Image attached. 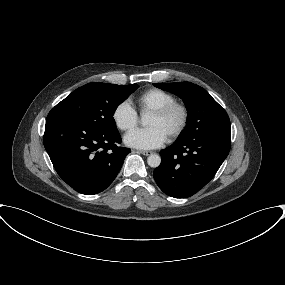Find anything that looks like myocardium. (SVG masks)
<instances>
[{"label": "myocardium", "instance_id": "myocardium-1", "mask_svg": "<svg viewBox=\"0 0 285 285\" xmlns=\"http://www.w3.org/2000/svg\"><path fill=\"white\" fill-rule=\"evenodd\" d=\"M173 112H177L179 114V122L178 125L167 135L169 140L177 139L185 131L189 122L188 107L182 102L174 101L151 111V114L158 117H167Z\"/></svg>", "mask_w": 285, "mask_h": 285}]
</instances>
